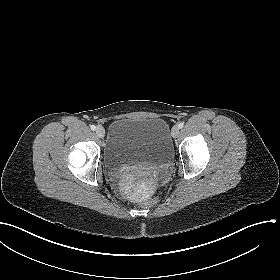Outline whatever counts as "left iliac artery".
<instances>
[{"mask_svg": "<svg viewBox=\"0 0 280 280\" xmlns=\"http://www.w3.org/2000/svg\"><path fill=\"white\" fill-rule=\"evenodd\" d=\"M178 127H179L180 129L183 128V127H184V123H182V122L179 123V124H178Z\"/></svg>", "mask_w": 280, "mask_h": 280, "instance_id": "44dca946", "label": "left iliac artery"}]
</instances>
